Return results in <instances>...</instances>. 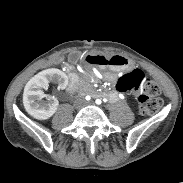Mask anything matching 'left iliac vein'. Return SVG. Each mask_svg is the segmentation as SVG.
Segmentation results:
<instances>
[{"mask_svg":"<svg viewBox=\"0 0 183 183\" xmlns=\"http://www.w3.org/2000/svg\"><path fill=\"white\" fill-rule=\"evenodd\" d=\"M87 104L91 105V104H93V102H88Z\"/></svg>","mask_w":183,"mask_h":183,"instance_id":"obj_1","label":"left iliac vein"}]
</instances>
